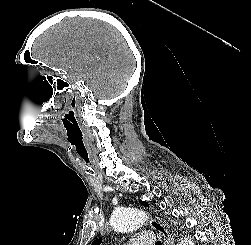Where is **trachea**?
Returning a JSON list of instances; mask_svg holds the SVG:
<instances>
[{
    "instance_id": "3493384b",
    "label": "trachea",
    "mask_w": 251,
    "mask_h": 245,
    "mask_svg": "<svg viewBox=\"0 0 251 245\" xmlns=\"http://www.w3.org/2000/svg\"><path fill=\"white\" fill-rule=\"evenodd\" d=\"M155 245H162L160 241H158Z\"/></svg>"
}]
</instances>
